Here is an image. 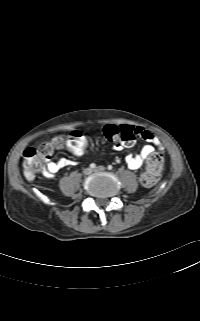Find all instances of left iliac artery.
<instances>
[{"instance_id": "obj_1", "label": "left iliac artery", "mask_w": 200, "mask_h": 321, "mask_svg": "<svg viewBox=\"0 0 200 321\" xmlns=\"http://www.w3.org/2000/svg\"><path fill=\"white\" fill-rule=\"evenodd\" d=\"M107 168H108V170H112L113 167L111 165H108Z\"/></svg>"}]
</instances>
